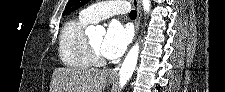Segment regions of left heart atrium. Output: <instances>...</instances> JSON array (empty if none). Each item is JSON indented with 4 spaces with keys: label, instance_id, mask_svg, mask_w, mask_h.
I'll list each match as a JSON object with an SVG mask.
<instances>
[{
    "label": "left heart atrium",
    "instance_id": "39dd6f15",
    "mask_svg": "<svg viewBox=\"0 0 225 92\" xmlns=\"http://www.w3.org/2000/svg\"><path fill=\"white\" fill-rule=\"evenodd\" d=\"M131 39V30L119 21H112L108 25L103 38L100 52L107 59H116L125 51Z\"/></svg>",
    "mask_w": 225,
    "mask_h": 92
}]
</instances>
